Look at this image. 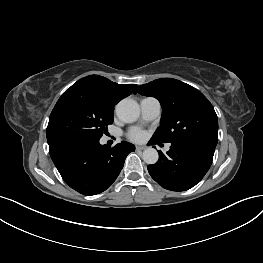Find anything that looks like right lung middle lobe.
<instances>
[{"mask_svg": "<svg viewBox=\"0 0 263 263\" xmlns=\"http://www.w3.org/2000/svg\"><path fill=\"white\" fill-rule=\"evenodd\" d=\"M113 111L89 96L62 95L49 118L48 144L68 139H100L113 123Z\"/></svg>", "mask_w": 263, "mask_h": 263, "instance_id": "dd1d6c3e", "label": "right lung middle lobe"}]
</instances>
